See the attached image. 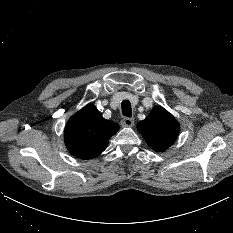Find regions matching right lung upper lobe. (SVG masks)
I'll list each match as a JSON object with an SVG mask.
<instances>
[{
	"label": "right lung upper lobe",
	"instance_id": "1",
	"mask_svg": "<svg viewBox=\"0 0 233 233\" xmlns=\"http://www.w3.org/2000/svg\"><path fill=\"white\" fill-rule=\"evenodd\" d=\"M119 125L106 120L93 104H88L67 122L64 140L67 149L76 157L90 159L100 155Z\"/></svg>",
	"mask_w": 233,
	"mask_h": 233
}]
</instances>
